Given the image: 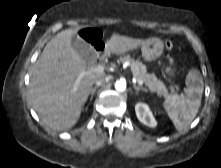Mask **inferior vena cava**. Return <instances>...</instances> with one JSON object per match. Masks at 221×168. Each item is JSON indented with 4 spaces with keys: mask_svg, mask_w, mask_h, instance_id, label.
<instances>
[{
    "mask_svg": "<svg viewBox=\"0 0 221 168\" xmlns=\"http://www.w3.org/2000/svg\"><path fill=\"white\" fill-rule=\"evenodd\" d=\"M108 81L106 76H100L96 79L95 83L97 86H101Z\"/></svg>",
    "mask_w": 221,
    "mask_h": 168,
    "instance_id": "602c4592",
    "label": "inferior vena cava"
}]
</instances>
